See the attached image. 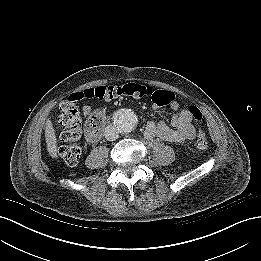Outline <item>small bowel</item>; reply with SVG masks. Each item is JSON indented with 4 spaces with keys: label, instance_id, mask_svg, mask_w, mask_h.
<instances>
[{
    "label": "small bowel",
    "instance_id": "1",
    "mask_svg": "<svg viewBox=\"0 0 261 261\" xmlns=\"http://www.w3.org/2000/svg\"><path fill=\"white\" fill-rule=\"evenodd\" d=\"M169 109L174 113L171 117L169 125L165 122L149 121L145 126V135L148 138H160L165 141L174 143H183L187 140H193L196 136L194 127V118L189 108H180L178 101L173 99L168 105ZM159 106L154 103L153 108ZM84 117H88L91 107L85 105L82 108Z\"/></svg>",
    "mask_w": 261,
    "mask_h": 261
}]
</instances>
